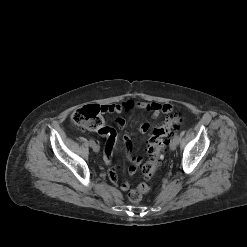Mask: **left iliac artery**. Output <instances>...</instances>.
I'll use <instances>...</instances> for the list:
<instances>
[{"label": "left iliac artery", "mask_w": 247, "mask_h": 247, "mask_svg": "<svg viewBox=\"0 0 247 247\" xmlns=\"http://www.w3.org/2000/svg\"><path fill=\"white\" fill-rule=\"evenodd\" d=\"M174 138H175V140H176L177 142H179L180 138H179L178 133H175V134H174Z\"/></svg>", "instance_id": "obj_1"}]
</instances>
